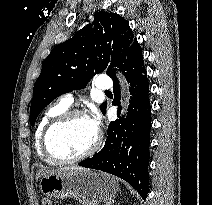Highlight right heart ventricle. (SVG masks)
<instances>
[{"instance_id":"e07e8e85","label":"right heart ventricle","mask_w":212,"mask_h":205,"mask_svg":"<svg viewBox=\"0 0 212 205\" xmlns=\"http://www.w3.org/2000/svg\"><path fill=\"white\" fill-rule=\"evenodd\" d=\"M67 109H68V106L63 105L61 102H58V103L50 106L42 115V117L36 127V130H35V134H34L35 150H36L37 154L39 155V157L49 164H54L56 162H54L49 157H47L46 154L43 152L42 146H41L42 134H43L46 126L49 124V122L52 119H54L56 116H58L59 114L66 111Z\"/></svg>"}]
</instances>
